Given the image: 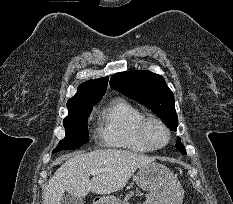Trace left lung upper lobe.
Returning <instances> with one entry per match:
<instances>
[{"mask_svg":"<svg viewBox=\"0 0 233 204\" xmlns=\"http://www.w3.org/2000/svg\"><path fill=\"white\" fill-rule=\"evenodd\" d=\"M110 86L150 108L170 130H177L174 94L162 76L146 70L120 72L111 77ZM175 146L181 153L186 154L180 138H177Z\"/></svg>","mask_w":233,"mask_h":204,"instance_id":"obj_1","label":"left lung upper lobe"}]
</instances>
